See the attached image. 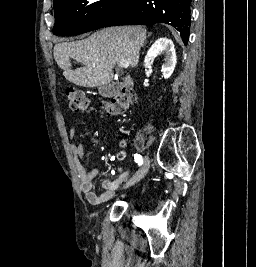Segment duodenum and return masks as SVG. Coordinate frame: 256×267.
Returning a JSON list of instances; mask_svg holds the SVG:
<instances>
[{"instance_id":"410a0bca","label":"duodenum","mask_w":256,"mask_h":267,"mask_svg":"<svg viewBox=\"0 0 256 267\" xmlns=\"http://www.w3.org/2000/svg\"><path fill=\"white\" fill-rule=\"evenodd\" d=\"M124 85L126 87H130L132 85V80L131 78H127L125 81H124Z\"/></svg>"}]
</instances>
